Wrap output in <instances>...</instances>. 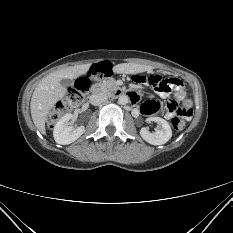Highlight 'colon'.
Wrapping results in <instances>:
<instances>
[{"mask_svg":"<svg viewBox=\"0 0 233 233\" xmlns=\"http://www.w3.org/2000/svg\"><path fill=\"white\" fill-rule=\"evenodd\" d=\"M110 74V65L99 64L92 67L87 75L77 79L74 86L67 91L66 96L56 104L54 109L49 114L47 119L48 126L53 127L63 116V114L78 106L83 101L85 93L89 89L92 78L102 79ZM132 79L136 83H148L157 91H169L176 83L172 79L162 78L158 75H134ZM148 105L153 113L158 112L162 108V105L157 101H150ZM166 107L167 109L176 112V116L173 117L171 121L172 127L175 130H182L192 115L193 110L191 101L189 99H185L180 102V105L177 101H171L166 105Z\"/></svg>","mask_w":233,"mask_h":233,"instance_id":"1","label":"colon"}]
</instances>
